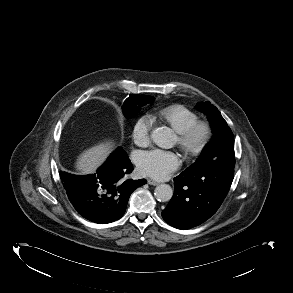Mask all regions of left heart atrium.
<instances>
[{
	"label": "left heart atrium",
	"instance_id": "obj_1",
	"mask_svg": "<svg viewBox=\"0 0 293 293\" xmlns=\"http://www.w3.org/2000/svg\"><path fill=\"white\" fill-rule=\"evenodd\" d=\"M180 165V158L175 152L160 149L141 152L137 159L140 173L157 180L168 178Z\"/></svg>",
	"mask_w": 293,
	"mask_h": 293
}]
</instances>
